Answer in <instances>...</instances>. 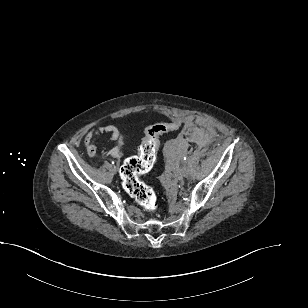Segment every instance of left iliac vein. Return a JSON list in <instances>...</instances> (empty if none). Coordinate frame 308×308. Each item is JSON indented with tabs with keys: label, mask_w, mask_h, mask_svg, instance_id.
Returning <instances> with one entry per match:
<instances>
[{
	"label": "left iliac vein",
	"mask_w": 308,
	"mask_h": 308,
	"mask_svg": "<svg viewBox=\"0 0 308 308\" xmlns=\"http://www.w3.org/2000/svg\"><path fill=\"white\" fill-rule=\"evenodd\" d=\"M187 174H188L187 168H186V167H182V168L178 171L177 177H178L179 179H182V178L186 177Z\"/></svg>",
	"instance_id": "1"
}]
</instances>
